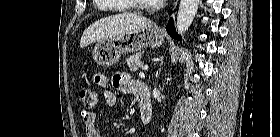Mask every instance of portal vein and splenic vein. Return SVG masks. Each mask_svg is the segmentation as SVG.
I'll list each match as a JSON object with an SVG mask.
<instances>
[{"mask_svg":"<svg viewBox=\"0 0 280 137\" xmlns=\"http://www.w3.org/2000/svg\"><path fill=\"white\" fill-rule=\"evenodd\" d=\"M142 69L143 70H147L148 69V65H144Z\"/></svg>","mask_w":280,"mask_h":137,"instance_id":"1","label":"portal vein and splenic vein"}]
</instances>
